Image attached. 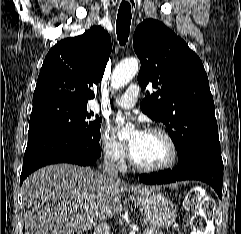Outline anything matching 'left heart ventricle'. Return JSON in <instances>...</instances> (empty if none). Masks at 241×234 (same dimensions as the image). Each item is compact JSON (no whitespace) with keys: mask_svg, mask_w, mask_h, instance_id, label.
I'll return each instance as SVG.
<instances>
[{"mask_svg":"<svg viewBox=\"0 0 241 234\" xmlns=\"http://www.w3.org/2000/svg\"><path fill=\"white\" fill-rule=\"evenodd\" d=\"M130 146L134 158L142 165L159 166L167 162L170 149L166 140L157 133H134L130 137Z\"/></svg>","mask_w":241,"mask_h":234,"instance_id":"left-heart-ventricle-1","label":"left heart ventricle"}]
</instances>
